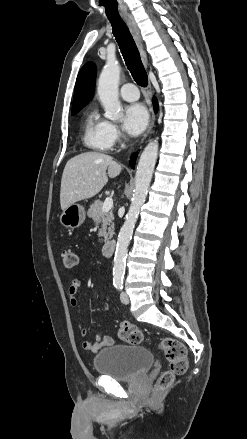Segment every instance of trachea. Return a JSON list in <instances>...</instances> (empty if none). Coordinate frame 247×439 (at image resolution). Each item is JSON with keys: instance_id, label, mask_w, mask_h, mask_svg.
Segmentation results:
<instances>
[{"instance_id": "trachea-1", "label": "trachea", "mask_w": 247, "mask_h": 439, "mask_svg": "<svg viewBox=\"0 0 247 439\" xmlns=\"http://www.w3.org/2000/svg\"><path fill=\"white\" fill-rule=\"evenodd\" d=\"M108 19L111 22L113 34L133 79L138 85L146 87L148 84V76L127 25L120 17L108 15Z\"/></svg>"}]
</instances>
